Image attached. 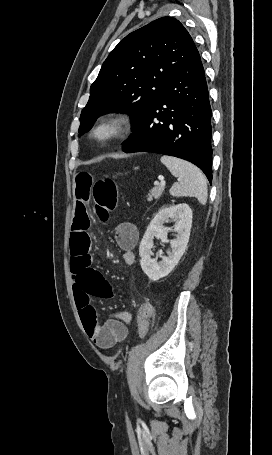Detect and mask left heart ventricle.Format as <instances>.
Segmentation results:
<instances>
[{"mask_svg": "<svg viewBox=\"0 0 272 455\" xmlns=\"http://www.w3.org/2000/svg\"><path fill=\"white\" fill-rule=\"evenodd\" d=\"M107 134H108V130H101L98 135H99V137L103 138V137L107 136Z\"/></svg>", "mask_w": 272, "mask_h": 455, "instance_id": "b2bd125f", "label": "left heart ventricle"}]
</instances>
